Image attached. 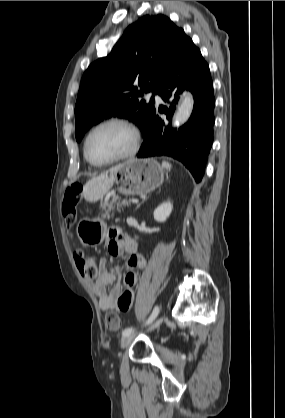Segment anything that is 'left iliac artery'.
I'll use <instances>...</instances> for the list:
<instances>
[{"label":"left iliac artery","instance_id":"obj_1","mask_svg":"<svg viewBox=\"0 0 285 418\" xmlns=\"http://www.w3.org/2000/svg\"><path fill=\"white\" fill-rule=\"evenodd\" d=\"M158 313H159V306H155L154 309H153V311H152V313H151V315H150V317L146 321V324L152 323L155 320V318L157 317ZM133 332H134V328L133 327H127V328H125L123 330L122 336L125 337V336H127V335H129V334H131Z\"/></svg>","mask_w":285,"mask_h":418}]
</instances>
